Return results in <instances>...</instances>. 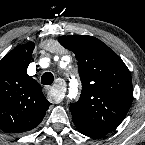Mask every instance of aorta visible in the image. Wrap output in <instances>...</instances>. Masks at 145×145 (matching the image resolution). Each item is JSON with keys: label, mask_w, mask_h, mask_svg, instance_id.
Returning a JSON list of instances; mask_svg holds the SVG:
<instances>
[{"label": "aorta", "mask_w": 145, "mask_h": 145, "mask_svg": "<svg viewBox=\"0 0 145 145\" xmlns=\"http://www.w3.org/2000/svg\"><path fill=\"white\" fill-rule=\"evenodd\" d=\"M70 95H75V86L74 84L71 86V89H70Z\"/></svg>", "instance_id": "aorta-1"}]
</instances>
